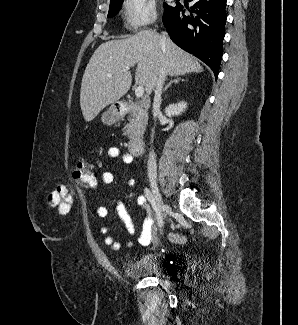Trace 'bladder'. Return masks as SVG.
<instances>
[{
    "label": "bladder",
    "mask_w": 298,
    "mask_h": 325,
    "mask_svg": "<svg viewBox=\"0 0 298 325\" xmlns=\"http://www.w3.org/2000/svg\"><path fill=\"white\" fill-rule=\"evenodd\" d=\"M123 274L127 278H146L162 277L163 273L160 268L159 257L157 255H145L135 261L125 264L122 268Z\"/></svg>",
    "instance_id": "1"
}]
</instances>
